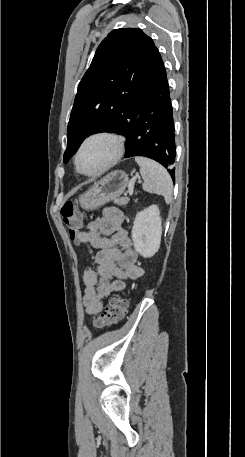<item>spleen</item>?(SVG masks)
Instances as JSON below:
<instances>
[{
  "label": "spleen",
  "instance_id": "3e777b00",
  "mask_svg": "<svg viewBox=\"0 0 245 457\" xmlns=\"http://www.w3.org/2000/svg\"><path fill=\"white\" fill-rule=\"evenodd\" d=\"M135 160L139 164L141 176L144 178L143 190L162 194L165 202L169 204L173 196V182L166 168L152 158H146V156H135Z\"/></svg>",
  "mask_w": 245,
  "mask_h": 457
}]
</instances>
